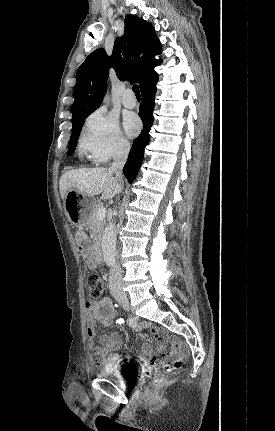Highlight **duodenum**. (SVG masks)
<instances>
[{"label":"duodenum","mask_w":275,"mask_h":431,"mask_svg":"<svg viewBox=\"0 0 275 431\" xmlns=\"http://www.w3.org/2000/svg\"><path fill=\"white\" fill-rule=\"evenodd\" d=\"M95 262L100 264L104 260V254L100 244H96L93 248Z\"/></svg>","instance_id":"410a0bca"}]
</instances>
